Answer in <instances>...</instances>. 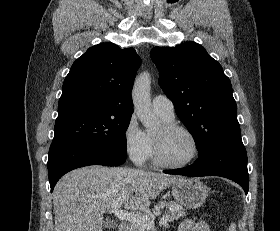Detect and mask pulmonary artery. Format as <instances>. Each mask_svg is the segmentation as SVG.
I'll return each mask as SVG.
<instances>
[{
    "label": "pulmonary artery",
    "mask_w": 280,
    "mask_h": 231,
    "mask_svg": "<svg viewBox=\"0 0 280 231\" xmlns=\"http://www.w3.org/2000/svg\"><path fill=\"white\" fill-rule=\"evenodd\" d=\"M152 108L155 112L160 114L161 116L173 119L175 116V110L173 102L164 95H157L152 100Z\"/></svg>",
    "instance_id": "1"
}]
</instances>
